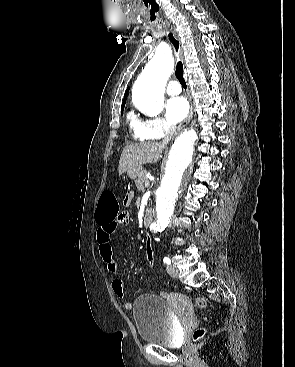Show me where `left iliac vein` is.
Masks as SVG:
<instances>
[{"mask_svg":"<svg viewBox=\"0 0 295 367\" xmlns=\"http://www.w3.org/2000/svg\"><path fill=\"white\" fill-rule=\"evenodd\" d=\"M167 272L173 278L179 277V270L175 266H167Z\"/></svg>","mask_w":295,"mask_h":367,"instance_id":"obj_1","label":"left iliac vein"}]
</instances>
